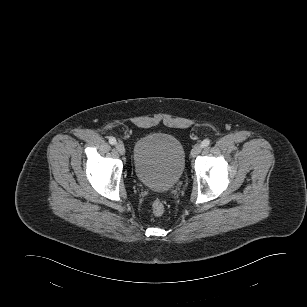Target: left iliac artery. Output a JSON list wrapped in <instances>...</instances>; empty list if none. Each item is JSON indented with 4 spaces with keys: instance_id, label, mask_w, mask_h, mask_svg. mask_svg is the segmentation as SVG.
<instances>
[{
    "instance_id": "1",
    "label": "left iliac artery",
    "mask_w": 307,
    "mask_h": 307,
    "mask_svg": "<svg viewBox=\"0 0 307 307\" xmlns=\"http://www.w3.org/2000/svg\"><path fill=\"white\" fill-rule=\"evenodd\" d=\"M210 145V140L209 139H205L202 141L201 143V146L204 148V147H207Z\"/></svg>"
}]
</instances>
